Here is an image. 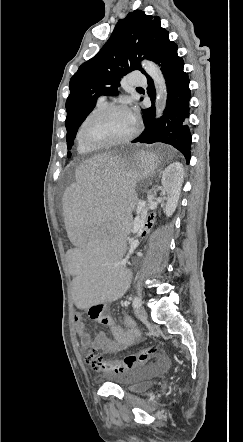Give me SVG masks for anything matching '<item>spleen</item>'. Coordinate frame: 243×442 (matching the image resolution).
<instances>
[{"instance_id": "3e777b00", "label": "spleen", "mask_w": 243, "mask_h": 442, "mask_svg": "<svg viewBox=\"0 0 243 442\" xmlns=\"http://www.w3.org/2000/svg\"><path fill=\"white\" fill-rule=\"evenodd\" d=\"M105 154L80 163L76 183H68L62 194L67 231L77 252L68 263L75 274L70 289L75 307H100L109 296L132 291L120 237L131 235L129 214L137 207L138 184L160 178L165 168L162 153H121L120 147H106Z\"/></svg>"}]
</instances>
